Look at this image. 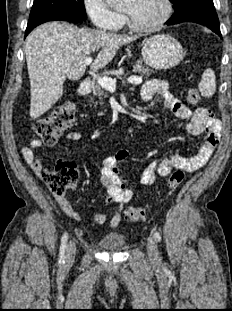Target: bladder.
I'll list each match as a JSON object with an SVG mask.
<instances>
[{
	"label": "bladder",
	"mask_w": 232,
	"mask_h": 311,
	"mask_svg": "<svg viewBox=\"0 0 232 311\" xmlns=\"http://www.w3.org/2000/svg\"><path fill=\"white\" fill-rule=\"evenodd\" d=\"M99 245L107 251H119L125 245V238L118 233L107 234L99 240Z\"/></svg>",
	"instance_id": "31cf9c89"
}]
</instances>
